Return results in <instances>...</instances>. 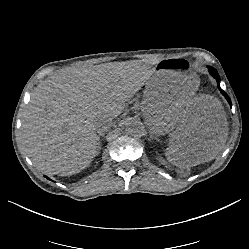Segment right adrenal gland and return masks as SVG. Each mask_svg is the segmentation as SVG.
<instances>
[{"mask_svg":"<svg viewBox=\"0 0 249 249\" xmlns=\"http://www.w3.org/2000/svg\"><path fill=\"white\" fill-rule=\"evenodd\" d=\"M103 135H104L103 132H99V133H98L99 139H100V137H102Z\"/></svg>","mask_w":249,"mask_h":249,"instance_id":"obj_1","label":"right adrenal gland"}]
</instances>
